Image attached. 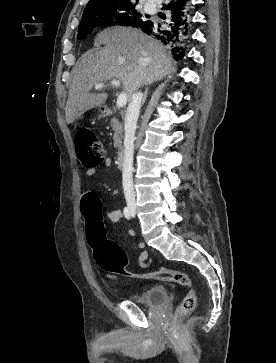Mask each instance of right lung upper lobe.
Here are the masks:
<instances>
[{
	"label": "right lung upper lobe",
	"instance_id": "cb5924a9",
	"mask_svg": "<svg viewBox=\"0 0 276 363\" xmlns=\"http://www.w3.org/2000/svg\"><path fill=\"white\" fill-rule=\"evenodd\" d=\"M111 1H126V2H134L135 0H90L88 5L86 7L95 5V4H99V3H105V2H111ZM143 17L145 18V16L143 15ZM149 21V20H145L142 22V24L139 26L141 27L143 25L144 22Z\"/></svg>",
	"mask_w": 276,
	"mask_h": 363
}]
</instances>
